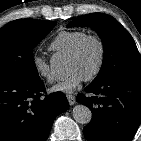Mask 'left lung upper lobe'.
<instances>
[{"mask_svg": "<svg viewBox=\"0 0 141 141\" xmlns=\"http://www.w3.org/2000/svg\"><path fill=\"white\" fill-rule=\"evenodd\" d=\"M89 26L94 29L104 46V59L99 74L92 83L121 75H141V55L128 31L113 17L92 13L78 17L67 27Z\"/></svg>", "mask_w": 141, "mask_h": 141, "instance_id": "left-lung-upper-lobe-1", "label": "left lung upper lobe"}]
</instances>
